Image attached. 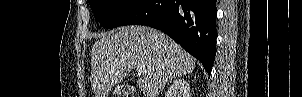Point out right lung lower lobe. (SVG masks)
Wrapping results in <instances>:
<instances>
[{"label": "right lung lower lobe", "instance_id": "98d812e1", "mask_svg": "<svg viewBox=\"0 0 302 97\" xmlns=\"http://www.w3.org/2000/svg\"><path fill=\"white\" fill-rule=\"evenodd\" d=\"M216 0H145L122 23L157 28L197 58L210 75L216 54Z\"/></svg>", "mask_w": 302, "mask_h": 97}]
</instances>
